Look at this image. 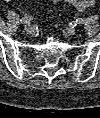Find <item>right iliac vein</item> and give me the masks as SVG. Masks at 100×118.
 <instances>
[{
	"label": "right iliac vein",
	"instance_id": "1",
	"mask_svg": "<svg viewBox=\"0 0 100 118\" xmlns=\"http://www.w3.org/2000/svg\"><path fill=\"white\" fill-rule=\"evenodd\" d=\"M33 30H34L33 27L30 25L25 27V31L27 34H31L33 32Z\"/></svg>",
	"mask_w": 100,
	"mask_h": 118
}]
</instances>
